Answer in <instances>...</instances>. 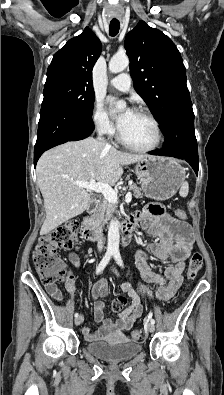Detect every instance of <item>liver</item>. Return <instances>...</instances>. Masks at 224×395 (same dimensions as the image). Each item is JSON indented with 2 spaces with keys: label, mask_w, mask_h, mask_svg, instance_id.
<instances>
[{
  "label": "liver",
  "mask_w": 224,
  "mask_h": 395,
  "mask_svg": "<svg viewBox=\"0 0 224 395\" xmlns=\"http://www.w3.org/2000/svg\"><path fill=\"white\" fill-rule=\"evenodd\" d=\"M148 156L124 153L93 138L67 142L45 152L36 167L37 181L44 199L46 219L40 234L45 235L67 220L82 214L90 196L76 181L114 185L123 166Z\"/></svg>",
  "instance_id": "liver-1"
}]
</instances>
